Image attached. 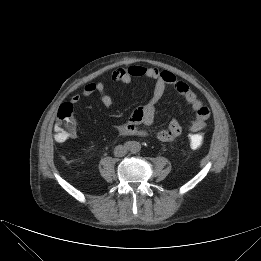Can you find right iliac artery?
Returning <instances> with one entry per match:
<instances>
[{
	"label": "right iliac artery",
	"mask_w": 261,
	"mask_h": 261,
	"mask_svg": "<svg viewBox=\"0 0 261 261\" xmlns=\"http://www.w3.org/2000/svg\"><path fill=\"white\" fill-rule=\"evenodd\" d=\"M125 146H126L127 148H129V147H131V143H130V142H126Z\"/></svg>",
	"instance_id": "obj_1"
}]
</instances>
